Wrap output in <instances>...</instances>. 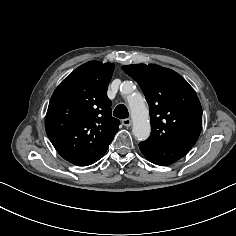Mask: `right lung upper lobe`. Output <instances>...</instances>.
Returning a JSON list of instances; mask_svg holds the SVG:
<instances>
[{
  "label": "right lung upper lobe",
  "mask_w": 236,
  "mask_h": 236,
  "mask_svg": "<svg viewBox=\"0 0 236 236\" xmlns=\"http://www.w3.org/2000/svg\"><path fill=\"white\" fill-rule=\"evenodd\" d=\"M114 64L90 61L75 69L54 91L45 117L46 133L61 155H103L119 130L107 88Z\"/></svg>",
  "instance_id": "obj_1"
}]
</instances>
